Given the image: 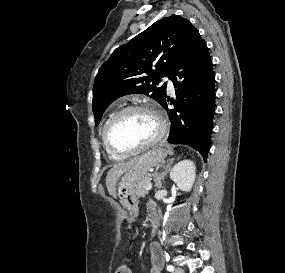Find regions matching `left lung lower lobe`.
Instances as JSON below:
<instances>
[{
  "instance_id": "obj_1",
  "label": "left lung lower lobe",
  "mask_w": 285,
  "mask_h": 273,
  "mask_svg": "<svg viewBox=\"0 0 285 273\" xmlns=\"http://www.w3.org/2000/svg\"><path fill=\"white\" fill-rule=\"evenodd\" d=\"M170 79L176 88V101L171 100L174 109H168L167 97L161 104L171 121L168 142L190 145L206 161L215 109V79L207 45L197 29Z\"/></svg>"
}]
</instances>
